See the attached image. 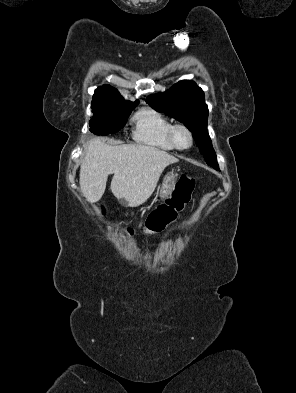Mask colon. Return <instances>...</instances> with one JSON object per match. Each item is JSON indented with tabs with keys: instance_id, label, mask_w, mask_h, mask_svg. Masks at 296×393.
Here are the masks:
<instances>
[{
	"instance_id": "colon-1",
	"label": "colon",
	"mask_w": 296,
	"mask_h": 393,
	"mask_svg": "<svg viewBox=\"0 0 296 393\" xmlns=\"http://www.w3.org/2000/svg\"><path fill=\"white\" fill-rule=\"evenodd\" d=\"M195 181L191 177L181 175L174 187L170 197L166 201L153 210L145 222L144 231L148 234L161 232L173 220L177 214L183 209L184 205L194 190ZM129 234L133 233L132 229H128Z\"/></svg>"
}]
</instances>
